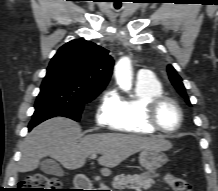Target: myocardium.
I'll list each match as a JSON object with an SVG mask.
<instances>
[{
    "label": "myocardium",
    "mask_w": 218,
    "mask_h": 191,
    "mask_svg": "<svg viewBox=\"0 0 218 191\" xmlns=\"http://www.w3.org/2000/svg\"><path fill=\"white\" fill-rule=\"evenodd\" d=\"M166 102L173 104L179 113V124L173 130H167L160 126L157 118L158 110L160 106ZM145 121L155 131L163 134L172 135L179 132L184 123V112L181 105L173 98L166 95H159L151 98L145 106Z\"/></svg>",
    "instance_id": "1"
}]
</instances>
